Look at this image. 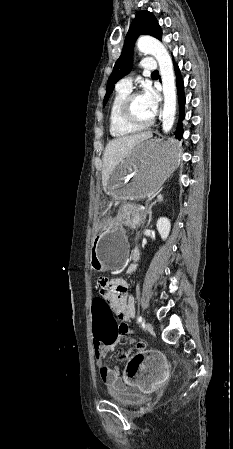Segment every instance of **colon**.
<instances>
[{
    "label": "colon",
    "instance_id": "colon-1",
    "mask_svg": "<svg viewBox=\"0 0 233 449\" xmlns=\"http://www.w3.org/2000/svg\"><path fill=\"white\" fill-rule=\"evenodd\" d=\"M102 292V291H100ZM91 333L94 334L95 349H110L111 343L118 341V329L114 322V316L109 308V301H91ZM121 344H127L128 338H119ZM145 345L142 342L136 344L129 352H122L121 358H128L126 376L136 375L137 368H143L145 359Z\"/></svg>",
    "mask_w": 233,
    "mask_h": 449
}]
</instances>
